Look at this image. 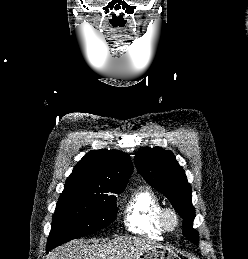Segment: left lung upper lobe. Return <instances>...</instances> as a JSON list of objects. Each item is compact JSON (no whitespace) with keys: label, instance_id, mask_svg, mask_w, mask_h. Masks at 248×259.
Segmentation results:
<instances>
[{"label":"left lung upper lobe","instance_id":"1","mask_svg":"<svg viewBox=\"0 0 248 259\" xmlns=\"http://www.w3.org/2000/svg\"><path fill=\"white\" fill-rule=\"evenodd\" d=\"M135 165L144 179L164 194L183 218V235L198 244V232L192 227L195 210L191 186L173 153L160 147L145 148L135 154Z\"/></svg>","mask_w":248,"mask_h":259}]
</instances>
